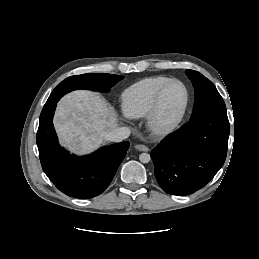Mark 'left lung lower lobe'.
<instances>
[{
  "label": "left lung lower lobe",
  "mask_w": 259,
  "mask_h": 259,
  "mask_svg": "<svg viewBox=\"0 0 259 259\" xmlns=\"http://www.w3.org/2000/svg\"><path fill=\"white\" fill-rule=\"evenodd\" d=\"M229 131L226 111H211L166 136L151 151L161 188L188 195L204 187L225 162Z\"/></svg>",
  "instance_id": "left-lung-lower-lobe-1"
}]
</instances>
